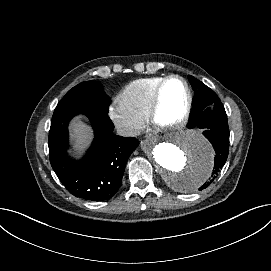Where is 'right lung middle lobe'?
<instances>
[{
	"mask_svg": "<svg viewBox=\"0 0 271 271\" xmlns=\"http://www.w3.org/2000/svg\"><path fill=\"white\" fill-rule=\"evenodd\" d=\"M110 98L97 81H86L67 92L56 106L54 113L70 107L90 106L108 112Z\"/></svg>",
	"mask_w": 271,
	"mask_h": 271,
	"instance_id": "right-lung-middle-lobe-1",
	"label": "right lung middle lobe"
}]
</instances>
